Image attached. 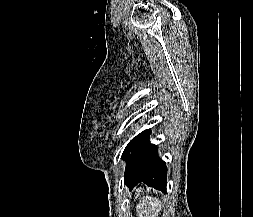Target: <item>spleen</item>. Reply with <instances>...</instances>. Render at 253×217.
<instances>
[{"instance_id":"1","label":"spleen","mask_w":253,"mask_h":217,"mask_svg":"<svg viewBox=\"0 0 253 217\" xmlns=\"http://www.w3.org/2000/svg\"><path fill=\"white\" fill-rule=\"evenodd\" d=\"M162 207L158 198L143 197L140 199V203L137 205L136 210L138 217H158Z\"/></svg>"}]
</instances>
